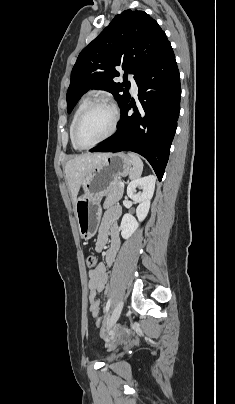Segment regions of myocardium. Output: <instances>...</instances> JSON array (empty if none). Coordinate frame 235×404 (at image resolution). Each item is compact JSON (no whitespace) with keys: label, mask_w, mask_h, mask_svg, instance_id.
Instances as JSON below:
<instances>
[{"label":"myocardium","mask_w":235,"mask_h":404,"mask_svg":"<svg viewBox=\"0 0 235 404\" xmlns=\"http://www.w3.org/2000/svg\"><path fill=\"white\" fill-rule=\"evenodd\" d=\"M99 106H104L109 108L112 113H113V119H112V125L110 130L108 131V133L103 136L101 139H99L98 141H96L93 144L90 145H83L79 139H78V130H79V126L83 120V118L86 116V114L93 108L95 107H99ZM118 121H119V110L118 108L111 102L105 100V99H97L94 101H91L78 115L76 122L74 124V128H73V141L75 143V145L83 150H87V149H91L95 146H97L98 144L108 140L116 131L117 129V125H118Z\"/></svg>","instance_id":"f54148a6"}]
</instances>
